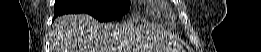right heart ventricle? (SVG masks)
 Wrapping results in <instances>:
<instances>
[{
    "label": "right heart ventricle",
    "instance_id": "right-heart-ventricle-1",
    "mask_svg": "<svg viewBox=\"0 0 261 52\" xmlns=\"http://www.w3.org/2000/svg\"><path fill=\"white\" fill-rule=\"evenodd\" d=\"M160 12H161V10H160V8L157 7V6H153V7L150 8V13H151L152 15L160 14Z\"/></svg>",
    "mask_w": 261,
    "mask_h": 52
}]
</instances>
